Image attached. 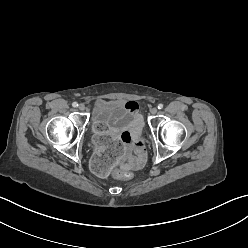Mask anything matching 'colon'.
I'll use <instances>...</instances> for the list:
<instances>
[{
    "label": "colon",
    "instance_id": "5ec220e1",
    "mask_svg": "<svg viewBox=\"0 0 248 248\" xmlns=\"http://www.w3.org/2000/svg\"><path fill=\"white\" fill-rule=\"evenodd\" d=\"M95 133L98 136L95 140V145L101 154L94 157L92 167L96 174L107 177L111 173L110 164L115 159H120L123 156L122 143L118 138H112L113 131L106 124L99 123L95 127ZM123 136L127 134L123 133ZM113 176L123 180H130L132 174L127 170L115 169L112 172Z\"/></svg>",
    "mask_w": 248,
    "mask_h": 248
}]
</instances>
